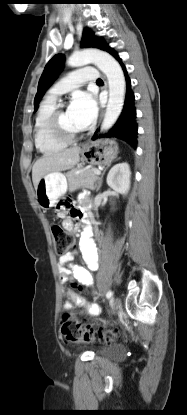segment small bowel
Wrapping results in <instances>:
<instances>
[{
  "label": "small bowel",
  "mask_w": 187,
  "mask_h": 415,
  "mask_svg": "<svg viewBox=\"0 0 187 415\" xmlns=\"http://www.w3.org/2000/svg\"><path fill=\"white\" fill-rule=\"evenodd\" d=\"M69 217L64 220L65 228L73 229V220H85V214L77 208H68ZM80 251L87 267L73 264L76 252H69L58 259L59 275L62 283L70 280L76 281V286L92 287L94 280L91 272L98 267V254L94 241L88 233L80 241ZM63 296L68 299L65 308L75 306L86 307L91 316H98L101 312L100 306L95 302H88L84 297L72 289H64Z\"/></svg>",
  "instance_id": "small-bowel-1"
}]
</instances>
